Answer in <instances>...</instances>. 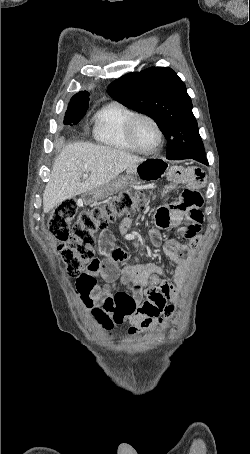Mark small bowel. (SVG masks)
I'll list each match as a JSON object with an SVG mask.
<instances>
[{
    "instance_id": "obj_1",
    "label": "small bowel",
    "mask_w": 250,
    "mask_h": 454,
    "mask_svg": "<svg viewBox=\"0 0 250 454\" xmlns=\"http://www.w3.org/2000/svg\"><path fill=\"white\" fill-rule=\"evenodd\" d=\"M203 184L204 174L201 171H181L163 187L164 193L179 185L184 187L178 200L158 207L155 213V223L159 229L180 225L181 242L168 241L162 244L157 230L150 233L151 244L155 248L161 247L175 264L168 276L164 268L156 264L129 265L120 271L119 265L127 255L114 246L110 233H102L99 251L103 258H94L76 280L77 291L86 308L101 307L117 323L130 322V336L160 327L164 322L163 317L172 315V303L189 268V255L200 242L203 198L199 190ZM129 225V220L124 219L121 229L127 232Z\"/></svg>"
}]
</instances>
